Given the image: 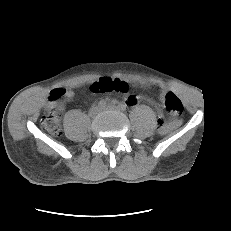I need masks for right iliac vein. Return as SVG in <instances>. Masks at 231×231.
Returning a JSON list of instances; mask_svg holds the SVG:
<instances>
[{"instance_id": "right-iliac-vein-1", "label": "right iliac vein", "mask_w": 231, "mask_h": 231, "mask_svg": "<svg viewBox=\"0 0 231 231\" xmlns=\"http://www.w3.org/2000/svg\"><path fill=\"white\" fill-rule=\"evenodd\" d=\"M101 108L99 106H95L93 108L90 109V116L94 117L96 116L98 113H100Z\"/></svg>"}]
</instances>
